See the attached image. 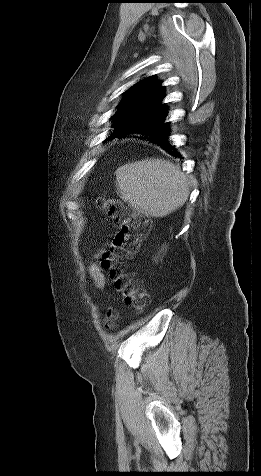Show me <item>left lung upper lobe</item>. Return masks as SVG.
<instances>
[{"label": "left lung upper lobe", "mask_w": 261, "mask_h": 476, "mask_svg": "<svg viewBox=\"0 0 261 476\" xmlns=\"http://www.w3.org/2000/svg\"><path fill=\"white\" fill-rule=\"evenodd\" d=\"M126 94L112 117L116 129L125 127L133 121L159 118L166 112L162 104L163 87L152 77L140 80Z\"/></svg>", "instance_id": "left-lung-upper-lobe-1"}]
</instances>
